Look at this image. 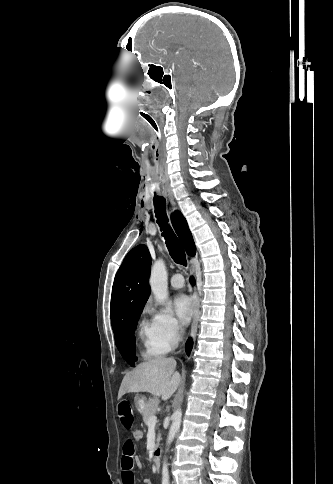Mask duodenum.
<instances>
[{"mask_svg":"<svg viewBox=\"0 0 333 484\" xmlns=\"http://www.w3.org/2000/svg\"><path fill=\"white\" fill-rule=\"evenodd\" d=\"M152 460H153V464H154L155 469L159 470L160 466H161V451H160V449H156L154 451Z\"/></svg>","mask_w":333,"mask_h":484,"instance_id":"410a0bca","label":"duodenum"}]
</instances>
